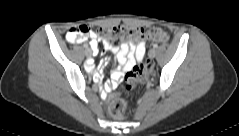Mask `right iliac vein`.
<instances>
[{
	"instance_id": "right-iliac-vein-1",
	"label": "right iliac vein",
	"mask_w": 239,
	"mask_h": 136,
	"mask_svg": "<svg viewBox=\"0 0 239 136\" xmlns=\"http://www.w3.org/2000/svg\"><path fill=\"white\" fill-rule=\"evenodd\" d=\"M85 54H86V56H91L92 50L88 48L87 50H85Z\"/></svg>"
}]
</instances>
